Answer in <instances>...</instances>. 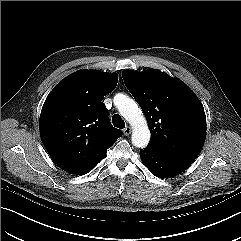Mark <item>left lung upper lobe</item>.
<instances>
[{"label": "left lung upper lobe", "instance_id": "1", "mask_svg": "<svg viewBox=\"0 0 241 241\" xmlns=\"http://www.w3.org/2000/svg\"><path fill=\"white\" fill-rule=\"evenodd\" d=\"M122 76L147 118L151 132L148 146L173 157L195 160L205 141L206 116L194 92L159 70H126Z\"/></svg>", "mask_w": 241, "mask_h": 241}]
</instances>
